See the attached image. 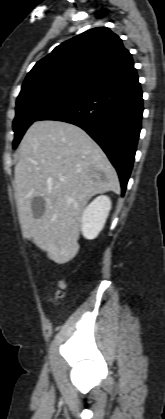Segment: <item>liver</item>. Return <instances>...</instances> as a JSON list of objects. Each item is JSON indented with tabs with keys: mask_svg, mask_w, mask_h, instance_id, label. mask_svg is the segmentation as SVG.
I'll return each mask as SVG.
<instances>
[{
	"mask_svg": "<svg viewBox=\"0 0 165 419\" xmlns=\"http://www.w3.org/2000/svg\"><path fill=\"white\" fill-rule=\"evenodd\" d=\"M15 166V197L24 238L48 258L64 264L79 251L82 212L96 194L120 189L116 170L81 128L61 121L33 123L24 135ZM45 200L34 218L31 202Z\"/></svg>",
	"mask_w": 165,
	"mask_h": 419,
	"instance_id": "6515ba94",
	"label": "liver"
}]
</instances>
